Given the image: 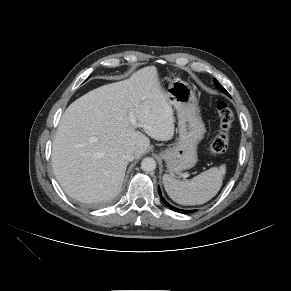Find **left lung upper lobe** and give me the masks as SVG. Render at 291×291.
Masks as SVG:
<instances>
[{"label": "left lung upper lobe", "mask_w": 291, "mask_h": 291, "mask_svg": "<svg viewBox=\"0 0 291 291\" xmlns=\"http://www.w3.org/2000/svg\"><path fill=\"white\" fill-rule=\"evenodd\" d=\"M214 83L222 92L229 96L228 92L219 84V82L216 79H214Z\"/></svg>", "instance_id": "5c2ea615"}]
</instances>
